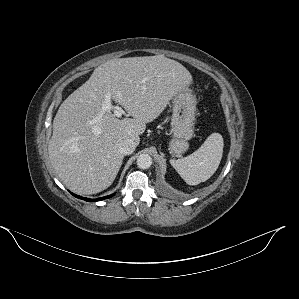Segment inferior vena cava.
Returning a JSON list of instances; mask_svg holds the SVG:
<instances>
[{
    "label": "inferior vena cava",
    "instance_id": "1",
    "mask_svg": "<svg viewBox=\"0 0 299 299\" xmlns=\"http://www.w3.org/2000/svg\"><path fill=\"white\" fill-rule=\"evenodd\" d=\"M136 144L131 139H125L119 144V152L123 155H129L134 152Z\"/></svg>",
    "mask_w": 299,
    "mask_h": 299
}]
</instances>
